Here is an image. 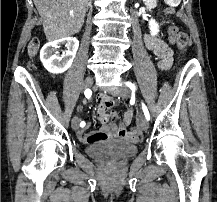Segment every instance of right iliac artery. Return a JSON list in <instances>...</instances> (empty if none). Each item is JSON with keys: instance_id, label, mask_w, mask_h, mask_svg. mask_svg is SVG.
<instances>
[{"instance_id": "1", "label": "right iliac artery", "mask_w": 217, "mask_h": 202, "mask_svg": "<svg viewBox=\"0 0 217 202\" xmlns=\"http://www.w3.org/2000/svg\"><path fill=\"white\" fill-rule=\"evenodd\" d=\"M84 94H85L86 98H90L91 95H92V91L90 89H86L85 92H84ZM84 126H85V122L82 121L80 123V127H84Z\"/></svg>"}]
</instances>
